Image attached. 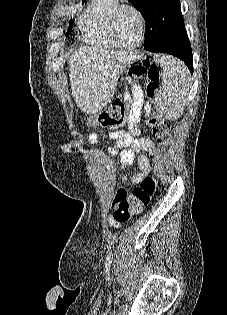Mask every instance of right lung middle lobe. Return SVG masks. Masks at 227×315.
Here are the masks:
<instances>
[{
  "instance_id": "1",
  "label": "right lung middle lobe",
  "mask_w": 227,
  "mask_h": 315,
  "mask_svg": "<svg viewBox=\"0 0 227 315\" xmlns=\"http://www.w3.org/2000/svg\"><path fill=\"white\" fill-rule=\"evenodd\" d=\"M71 28H72V26H71V22H70V26H69V28L67 30L66 36L71 32Z\"/></svg>"
}]
</instances>
